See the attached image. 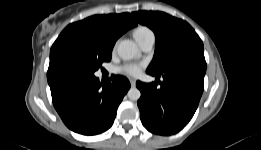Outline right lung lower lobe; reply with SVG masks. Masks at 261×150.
<instances>
[{
	"label": "right lung lower lobe",
	"instance_id": "98d812e1",
	"mask_svg": "<svg viewBox=\"0 0 261 150\" xmlns=\"http://www.w3.org/2000/svg\"><path fill=\"white\" fill-rule=\"evenodd\" d=\"M49 85L54 107L65 125L83 135L109 129L130 88L123 76H112L105 84L93 75L60 79Z\"/></svg>",
	"mask_w": 261,
	"mask_h": 150
}]
</instances>
